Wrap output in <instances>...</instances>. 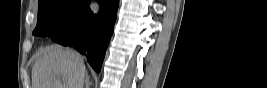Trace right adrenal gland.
Segmentation results:
<instances>
[{"mask_svg": "<svg viewBox=\"0 0 267 88\" xmlns=\"http://www.w3.org/2000/svg\"><path fill=\"white\" fill-rule=\"evenodd\" d=\"M90 85H91V82L89 80V75L88 73L86 72L85 73V88H90Z\"/></svg>", "mask_w": 267, "mask_h": 88, "instance_id": "obj_1", "label": "right adrenal gland"}]
</instances>
